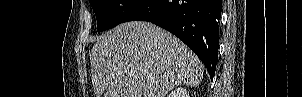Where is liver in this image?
Returning a JSON list of instances; mask_svg holds the SVG:
<instances>
[{
  "label": "liver",
  "instance_id": "liver-1",
  "mask_svg": "<svg viewBox=\"0 0 302 97\" xmlns=\"http://www.w3.org/2000/svg\"><path fill=\"white\" fill-rule=\"evenodd\" d=\"M96 97H166L180 84L199 85L203 66L177 37L144 21L118 25L90 53Z\"/></svg>",
  "mask_w": 302,
  "mask_h": 97
}]
</instances>
